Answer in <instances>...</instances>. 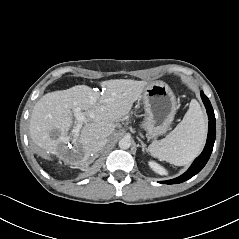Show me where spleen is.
I'll use <instances>...</instances> for the list:
<instances>
[{
    "label": "spleen",
    "mask_w": 239,
    "mask_h": 239,
    "mask_svg": "<svg viewBox=\"0 0 239 239\" xmlns=\"http://www.w3.org/2000/svg\"><path fill=\"white\" fill-rule=\"evenodd\" d=\"M206 123L199 103L192 100L183 120L165 138L151 143L148 151L157 159L176 166L193 161L203 149Z\"/></svg>",
    "instance_id": "1"
}]
</instances>
